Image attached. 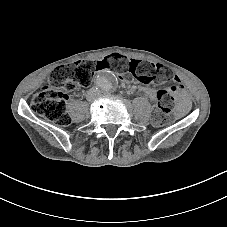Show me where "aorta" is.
I'll return each mask as SVG.
<instances>
[{
	"label": "aorta",
	"mask_w": 227,
	"mask_h": 227,
	"mask_svg": "<svg viewBox=\"0 0 227 227\" xmlns=\"http://www.w3.org/2000/svg\"><path fill=\"white\" fill-rule=\"evenodd\" d=\"M117 78L116 76L111 72H104L101 73L96 78V84L99 89H101L103 92H110L114 90L117 86Z\"/></svg>",
	"instance_id": "aorta-1"
}]
</instances>
